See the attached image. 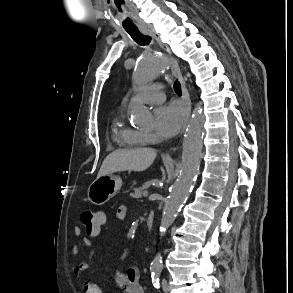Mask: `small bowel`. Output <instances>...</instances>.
Returning a JSON list of instances; mask_svg holds the SVG:
<instances>
[{"instance_id": "c3829d8e", "label": "small bowel", "mask_w": 293, "mask_h": 293, "mask_svg": "<svg viewBox=\"0 0 293 293\" xmlns=\"http://www.w3.org/2000/svg\"><path fill=\"white\" fill-rule=\"evenodd\" d=\"M126 215H127V207L125 205L119 206L116 211L117 219L124 220ZM99 216L101 217L100 227L96 231L85 230L87 236L82 238L83 243L87 247H89V252L75 267V274L77 276H80L81 273L90 266L93 255H94V246H93V242L91 238L98 236L100 234L101 227L106 224L105 214L103 212H99ZM74 233L76 236L80 237L82 235V229L79 226H76L74 228ZM72 252L75 255L79 253L78 245L73 246ZM115 281L117 285L123 290L124 293H144L143 287L141 285L140 271L135 267H131L127 269L125 272H117L115 275ZM93 287H98V286L92 281H86L83 284L84 293H93L92 292ZM100 293H102L101 289H100Z\"/></svg>"}]
</instances>
